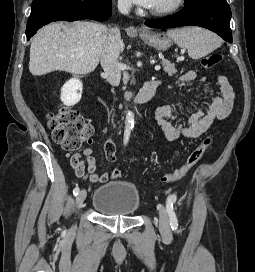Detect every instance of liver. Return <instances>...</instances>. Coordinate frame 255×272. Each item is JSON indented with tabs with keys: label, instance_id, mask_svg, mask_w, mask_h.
I'll use <instances>...</instances> for the list:
<instances>
[{
	"label": "liver",
	"instance_id": "liver-1",
	"mask_svg": "<svg viewBox=\"0 0 255 272\" xmlns=\"http://www.w3.org/2000/svg\"><path fill=\"white\" fill-rule=\"evenodd\" d=\"M109 29L100 23H51L40 29L30 47L29 71L41 76L53 71L88 74L95 70ZM124 43L121 41L120 50Z\"/></svg>",
	"mask_w": 255,
	"mask_h": 272
}]
</instances>
